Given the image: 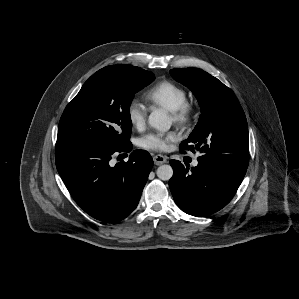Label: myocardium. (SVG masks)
Here are the masks:
<instances>
[{"instance_id": "1", "label": "myocardium", "mask_w": 299, "mask_h": 299, "mask_svg": "<svg viewBox=\"0 0 299 299\" xmlns=\"http://www.w3.org/2000/svg\"><path fill=\"white\" fill-rule=\"evenodd\" d=\"M196 114V106L188 101L183 103L177 110L171 112L173 121L182 126L191 125L195 120Z\"/></svg>"}]
</instances>
